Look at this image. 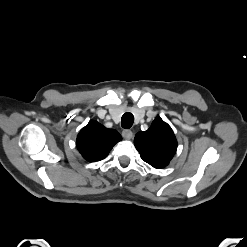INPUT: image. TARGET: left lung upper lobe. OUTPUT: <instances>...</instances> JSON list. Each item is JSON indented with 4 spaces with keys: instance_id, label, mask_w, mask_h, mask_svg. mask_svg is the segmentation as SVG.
I'll return each instance as SVG.
<instances>
[{
    "instance_id": "left-lung-upper-lobe-1",
    "label": "left lung upper lobe",
    "mask_w": 247,
    "mask_h": 247,
    "mask_svg": "<svg viewBox=\"0 0 247 247\" xmlns=\"http://www.w3.org/2000/svg\"><path fill=\"white\" fill-rule=\"evenodd\" d=\"M134 144L141 158L157 169L166 167L177 149L172 129L160 117L153 121L147 131L136 134Z\"/></svg>"
}]
</instances>
